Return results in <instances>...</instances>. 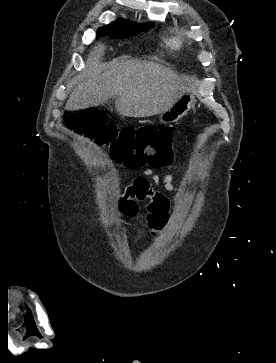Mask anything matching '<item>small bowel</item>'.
I'll use <instances>...</instances> for the list:
<instances>
[{
	"label": "small bowel",
	"instance_id": "1",
	"mask_svg": "<svg viewBox=\"0 0 276 363\" xmlns=\"http://www.w3.org/2000/svg\"><path fill=\"white\" fill-rule=\"evenodd\" d=\"M158 185H161L168 193L176 191L173 175L170 173L160 177L154 174L152 170L146 169L143 176L134 179L124 193L123 209L125 213L130 217L136 216L139 212L138 203L148 201V221L150 216L160 218L162 213L167 212L169 199L156 188ZM150 230L155 232L159 229L150 226Z\"/></svg>",
	"mask_w": 276,
	"mask_h": 363
}]
</instances>
